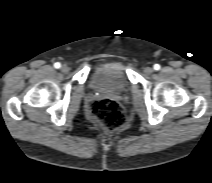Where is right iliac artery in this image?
Here are the masks:
<instances>
[{"label":"right iliac artery","instance_id":"obj_1","mask_svg":"<svg viewBox=\"0 0 212 183\" xmlns=\"http://www.w3.org/2000/svg\"><path fill=\"white\" fill-rule=\"evenodd\" d=\"M54 67L58 69V68L61 67V64H60L59 62H56V63L54 64Z\"/></svg>","mask_w":212,"mask_h":183}]
</instances>
